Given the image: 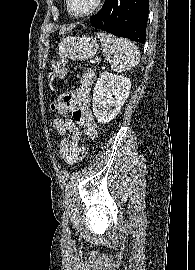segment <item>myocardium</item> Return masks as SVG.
Masks as SVG:
<instances>
[{"instance_id":"1","label":"myocardium","mask_w":195,"mask_h":270,"mask_svg":"<svg viewBox=\"0 0 195 270\" xmlns=\"http://www.w3.org/2000/svg\"><path fill=\"white\" fill-rule=\"evenodd\" d=\"M65 3H66V9L72 17L77 18V19H83V18H87L93 15L101 7L103 0H96L94 6L89 11L83 14H76L71 10L70 0H65Z\"/></svg>"}]
</instances>
